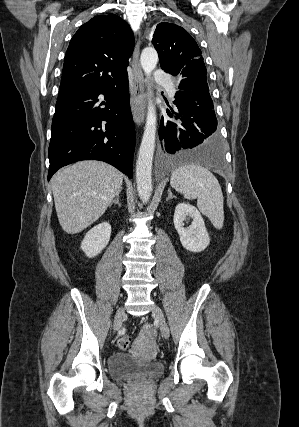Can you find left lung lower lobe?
Wrapping results in <instances>:
<instances>
[{"mask_svg": "<svg viewBox=\"0 0 299 427\" xmlns=\"http://www.w3.org/2000/svg\"><path fill=\"white\" fill-rule=\"evenodd\" d=\"M173 103L166 110L173 121L162 117L159 128L164 159L221 166L223 155L214 105L182 90L176 92Z\"/></svg>", "mask_w": 299, "mask_h": 427, "instance_id": "0a47b994", "label": "left lung lower lobe"}]
</instances>
